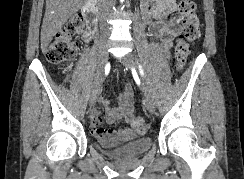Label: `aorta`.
Returning <instances> with one entry per match:
<instances>
[{
	"label": "aorta",
	"mask_w": 244,
	"mask_h": 179,
	"mask_svg": "<svg viewBox=\"0 0 244 179\" xmlns=\"http://www.w3.org/2000/svg\"><path fill=\"white\" fill-rule=\"evenodd\" d=\"M120 2H124V0H120Z\"/></svg>",
	"instance_id": "1"
}]
</instances>
